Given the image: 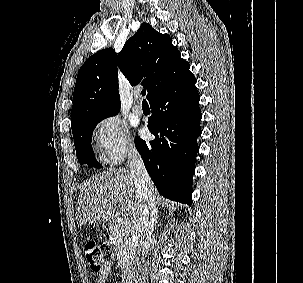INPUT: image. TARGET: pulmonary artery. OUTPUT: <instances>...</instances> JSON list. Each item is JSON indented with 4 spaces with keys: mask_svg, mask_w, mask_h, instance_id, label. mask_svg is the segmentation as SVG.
<instances>
[{
    "mask_svg": "<svg viewBox=\"0 0 303 283\" xmlns=\"http://www.w3.org/2000/svg\"><path fill=\"white\" fill-rule=\"evenodd\" d=\"M132 110H133L134 114H136V115L140 116L143 114V107L140 103V93L139 92L135 93V103L132 107Z\"/></svg>",
    "mask_w": 303,
    "mask_h": 283,
    "instance_id": "e3ab8cb5",
    "label": "pulmonary artery"
}]
</instances>
